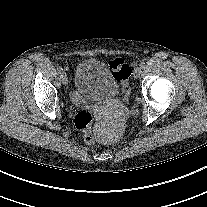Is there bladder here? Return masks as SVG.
Returning <instances> with one entry per match:
<instances>
[{
    "label": "bladder",
    "instance_id": "31cf9c89",
    "mask_svg": "<svg viewBox=\"0 0 207 207\" xmlns=\"http://www.w3.org/2000/svg\"><path fill=\"white\" fill-rule=\"evenodd\" d=\"M73 84L83 97L98 101L112 99L119 91L111 69L96 58H86L77 64Z\"/></svg>",
    "mask_w": 207,
    "mask_h": 207
}]
</instances>
